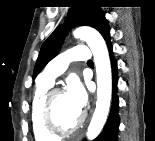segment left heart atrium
Masks as SVG:
<instances>
[{
	"label": "left heart atrium",
	"mask_w": 155,
	"mask_h": 141,
	"mask_svg": "<svg viewBox=\"0 0 155 141\" xmlns=\"http://www.w3.org/2000/svg\"><path fill=\"white\" fill-rule=\"evenodd\" d=\"M65 95L69 100L70 104L72 105V107L79 114H81L87 103V93L81 82L77 80H71L68 83Z\"/></svg>",
	"instance_id": "1"
}]
</instances>
